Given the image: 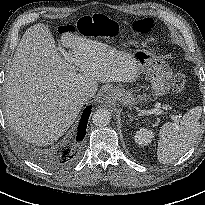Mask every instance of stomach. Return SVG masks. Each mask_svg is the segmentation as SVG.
<instances>
[{
    "instance_id": "1",
    "label": "stomach",
    "mask_w": 205,
    "mask_h": 205,
    "mask_svg": "<svg viewBox=\"0 0 205 205\" xmlns=\"http://www.w3.org/2000/svg\"><path fill=\"white\" fill-rule=\"evenodd\" d=\"M93 37L92 35H86ZM131 61L135 64L139 73H146L151 82L153 95L163 96L170 90V80L172 71L164 60L152 54L148 50H136L131 54ZM110 96L113 100L119 101L129 107L146 103L148 97L146 95H133L130 91L122 88L111 89Z\"/></svg>"
}]
</instances>
